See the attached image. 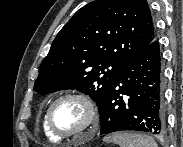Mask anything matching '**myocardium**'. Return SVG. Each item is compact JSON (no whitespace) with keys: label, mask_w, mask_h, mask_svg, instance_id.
<instances>
[{"label":"myocardium","mask_w":183,"mask_h":147,"mask_svg":"<svg viewBox=\"0 0 183 147\" xmlns=\"http://www.w3.org/2000/svg\"><path fill=\"white\" fill-rule=\"evenodd\" d=\"M65 99H76L80 101L87 109L88 112V119L86 124L79 130L70 132V133H62L59 132L52 123V111L54 107L61 102L62 100ZM45 120H46V125L50 132L54 134L56 137L60 139H66V138H71V137H76L84 132L90 130L92 127H94L98 121H99V113H98V108L96 106V103L94 100L87 94L81 93V92H67L59 97H57L48 107L45 115Z\"/></svg>","instance_id":"f54148a6"}]
</instances>
